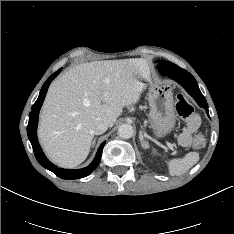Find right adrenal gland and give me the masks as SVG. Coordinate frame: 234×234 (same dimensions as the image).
I'll use <instances>...</instances> for the list:
<instances>
[{"label": "right adrenal gland", "instance_id": "2a0ac1e0", "mask_svg": "<svg viewBox=\"0 0 234 234\" xmlns=\"http://www.w3.org/2000/svg\"><path fill=\"white\" fill-rule=\"evenodd\" d=\"M95 141H96V138L93 140V142H92V143L94 144V143H95Z\"/></svg>", "mask_w": 234, "mask_h": 234}]
</instances>
